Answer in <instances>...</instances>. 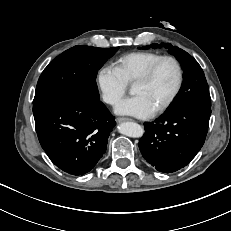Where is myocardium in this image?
Instances as JSON below:
<instances>
[{"label":"myocardium","instance_id":"obj_1","mask_svg":"<svg viewBox=\"0 0 231 231\" xmlns=\"http://www.w3.org/2000/svg\"><path fill=\"white\" fill-rule=\"evenodd\" d=\"M164 61H171L175 65L178 74L177 83L170 96L158 108L154 110L153 114H159L164 112L166 109H168L171 106V104L175 101V99L179 95L184 83V70L181 62L176 57L171 55L161 56L156 61H154L150 66H148L133 82L134 85L137 83H145L149 81L153 76V74L155 73L158 66Z\"/></svg>","mask_w":231,"mask_h":231}]
</instances>
